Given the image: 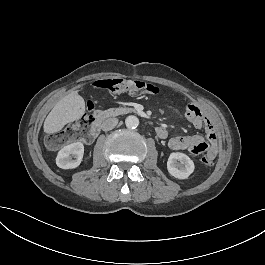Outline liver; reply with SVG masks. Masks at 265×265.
I'll return each instance as SVG.
<instances>
[{
    "label": "liver",
    "mask_w": 265,
    "mask_h": 265,
    "mask_svg": "<svg viewBox=\"0 0 265 265\" xmlns=\"http://www.w3.org/2000/svg\"><path fill=\"white\" fill-rule=\"evenodd\" d=\"M84 113V98L77 91H72L60 99L49 112L43 123V131L46 134H55L66 124L81 118Z\"/></svg>",
    "instance_id": "6515ba94"
}]
</instances>
